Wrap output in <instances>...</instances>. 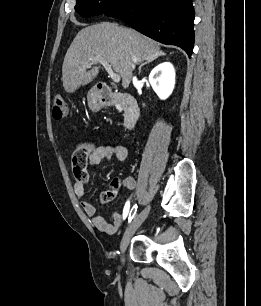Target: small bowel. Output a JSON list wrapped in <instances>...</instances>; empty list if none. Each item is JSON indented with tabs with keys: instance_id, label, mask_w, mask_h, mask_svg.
Instances as JSON below:
<instances>
[{
	"instance_id": "1",
	"label": "small bowel",
	"mask_w": 261,
	"mask_h": 306,
	"mask_svg": "<svg viewBox=\"0 0 261 306\" xmlns=\"http://www.w3.org/2000/svg\"><path fill=\"white\" fill-rule=\"evenodd\" d=\"M78 147H86L89 150V155L86 165L83 168L76 169L74 166L72 168L74 192L81 200V207L84 213L91 219L94 227L106 234H114L126 218L124 219L123 212H116L112 215L111 222H109L105 217L96 213V208L92 203L84 200L86 196V184L88 182V169L112 157L116 158L118 161H124L128 156V150L123 145L113 143L95 145L89 142H78L77 148ZM122 184L129 190H134L136 187V181L133 177L125 178ZM114 188H118V183L116 181L111 184L110 188L102 195V198L104 199L109 195L110 191Z\"/></svg>"
}]
</instances>
